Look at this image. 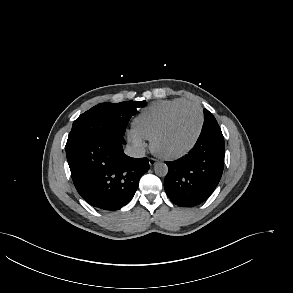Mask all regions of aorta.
<instances>
[{"mask_svg": "<svg viewBox=\"0 0 293 293\" xmlns=\"http://www.w3.org/2000/svg\"><path fill=\"white\" fill-rule=\"evenodd\" d=\"M154 172L156 175H158L160 177H164L168 173V167L165 163L159 162L155 165Z\"/></svg>", "mask_w": 293, "mask_h": 293, "instance_id": "obj_1", "label": "aorta"}]
</instances>
